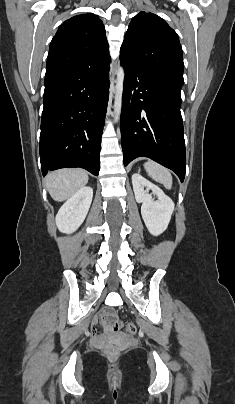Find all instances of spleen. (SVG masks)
<instances>
[{
    "label": "spleen",
    "mask_w": 235,
    "mask_h": 404,
    "mask_svg": "<svg viewBox=\"0 0 235 404\" xmlns=\"http://www.w3.org/2000/svg\"><path fill=\"white\" fill-rule=\"evenodd\" d=\"M144 168L153 180L163 184L165 188L171 189L172 175L168 169L151 160L144 164Z\"/></svg>",
    "instance_id": "1"
}]
</instances>
